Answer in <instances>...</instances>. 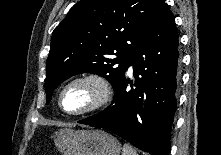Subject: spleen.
I'll list each match as a JSON object with an SVG mask.
<instances>
[{"instance_id": "spleen-1", "label": "spleen", "mask_w": 221, "mask_h": 155, "mask_svg": "<svg viewBox=\"0 0 221 155\" xmlns=\"http://www.w3.org/2000/svg\"><path fill=\"white\" fill-rule=\"evenodd\" d=\"M122 155H138L136 150L129 144H124Z\"/></svg>"}]
</instances>
